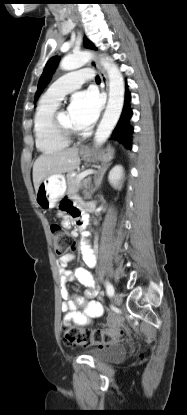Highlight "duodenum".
I'll list each match as a JSON object with an SVG mask.
<instances>
[{"label": "duodenum", "mask_w": 187, "mask_h": 415, "mask_svg": "<svg viewBox=\"0 0 187 415\" xmlns=\"http://www.w3.org/2000/svg\"><path fill=\"white\" fill-rule=\"evenodd\" d=\"M85 222H86L85 217L81 216V217L77 218V220L75 221V223H76V230L78 232L83 229V227L85 226Z\"/></svg>", "instance_id": "1"}]
</instances>
